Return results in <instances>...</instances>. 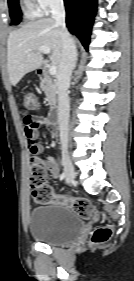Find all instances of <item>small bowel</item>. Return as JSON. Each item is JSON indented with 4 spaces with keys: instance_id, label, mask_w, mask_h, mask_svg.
Segmentation results:
<instances>
[{
    "instance_id": "c3829d8e",
    "label": "small bowel",
    "mask_w": 134,
    "mask_h": 281,
    "mask_svg": "<svg viewBox=\"0 0 134 281\" xmlns=\"http://www.w3.org/2000/svg\"><path fill=\"white\" fill-rule=\"evenodd\" d=\"M23 122L31 165L33 167L40 166L45 168L51 173L52 177L57 178L59 175V165L57 160L53 156L41 157L40 154L43 152L44 147L41 144L36 143L38 128L41 125H45L49 128L52 137L56 136L55 127L51 126L44 118L38 117L28 110L23 111Z\"/></svg>"
}]
</instances>
